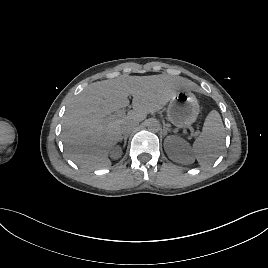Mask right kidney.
Returning a JSON list of instances; mask_svg holds the SVG:
<instances>
[{
	"mask_svg": "<svg viewBox=\"0 0 268 268\" xmlns=\"http://www.w3.org/2000/svg\"><path fill=\"white\" fill-rule=\"evenodd\" d=\"M122 154V150L119 146L114 147L111 151H110V157L114 160L118 159L119 157H121Z\"/></svg>",
	"mask_w": 268,
	"mask_h": 268,
	"instance_id": "1",
	"label": "right kidney"
}]
</instances>
